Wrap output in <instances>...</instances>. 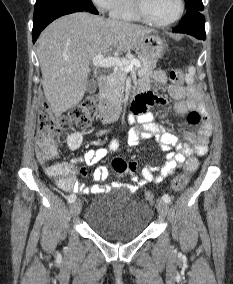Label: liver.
I'll use <instances>...</instances> for the list:
<instances>
[{"label": "liver", "mask_w": 233, "mask_h": 284, "mask_svg": "<svg viewBox=\"0 0 233 284\" xmlns=\"http://www.w3.org/2000/svg\"><path fill=\"white\" fill-rule=\"evenodd\" d=\"M153 29L86 12L66 15L39 36L37 56L45 98L55 117L75 107L86 92L90 63L99 54L127 52Z\"/></svg>", "instance_id": "liver-1"}]
</instances>
